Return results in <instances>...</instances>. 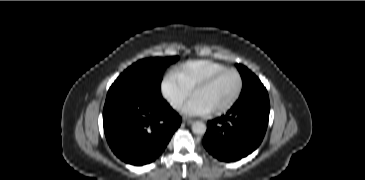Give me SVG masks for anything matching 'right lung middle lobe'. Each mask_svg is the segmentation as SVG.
<instances>
[{"label": "right lung middle lobe", "mask_w": 365, "mask_h": 180, "mask_svg": "<svg viewBox=\"0 0 365 180\" xmlns=\"http://www.w3.org/2000/svg\"><path fill=\"white\" fill-rule=\"evenodd\" d=\"M179 59L168 58L143 59L126 69L112 84L107 97L111 98L129 91L161 92L162 73L165 68Z\"/></svg>", "instance_id": "obj_1"}]
</instances>
